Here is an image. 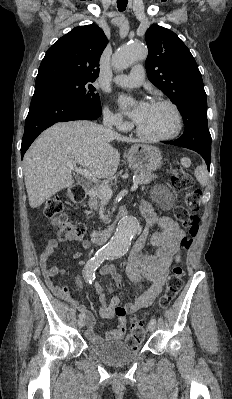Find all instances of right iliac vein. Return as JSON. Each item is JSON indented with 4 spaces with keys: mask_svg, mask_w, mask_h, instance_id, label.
I'll use <instances>...</instances> for the list:
<instances>
[{
    "mask_svg": "<svg viewBox=\"0 0 232 399\" xmlns=\"http://www.w3.org/2000/svg\"><path fill=\"white\" fill-rule=\"evenodd\" d=\"M84 325H85V322H84V321L78 320V322H77V327H78V328H81V327L84 326Z\"/></svg>",
    "mask_w": 232,
    "mask_h": 399,
    "instance_id": "right-iliac-vein-1",
    "label": "right iliac vein"
}]
</instances>
